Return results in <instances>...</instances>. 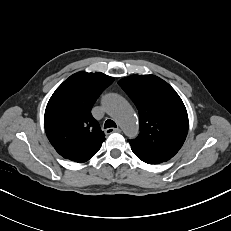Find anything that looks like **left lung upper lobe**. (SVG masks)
<instances>
[{"label":"left lung upper lobe","mask_w":231,"mask_h":231,"mask_svg":"<svg viewBox=\"0 0 231 231\" xmlns=\"http://www.w3.org/2000/svg\"><path fill=\"white\" fill-rule=\"evenodd\" d=\"M136 104L140 133L129 140L131 149L171 159L188 133V115L176 91L155 75H132L119 81Z\"/></svg>","instance_id":"5c2ea615"}]
</instances>
